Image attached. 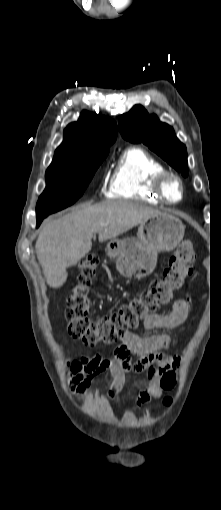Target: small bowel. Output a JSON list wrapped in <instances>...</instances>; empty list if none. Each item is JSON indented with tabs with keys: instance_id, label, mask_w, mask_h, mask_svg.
Listing matches in <instances>:
<instances>
[{
	"instance_id": "1",
	"label": "small bowel",
	"mask_w": 221,
	"mask_h": 510,
	"mask_svg": "<svg viewBox=\"0 0 221 510\" xmlns=\"http://www.w3.org/2000/svg\"><path fill=\"white\" fill-rule=\"evenodd\" d=\"M192 311L191 298H178L173 302L168 314H151L143 320V327L148 330H165L181 325ZM174 338L166 334L140 336L126 332L120 343L113 347L110 356L96 353L67 359L66 368L70 374V389L82 398L91 387L95 378L109 371L112 380L107 391L108 400H114L131 373L146 372L149 385L142 389L137 398V406L150 402L170 390L176 381V369L179 357L165 354L163 351L174 343Z\"/></svg>"
}]
</instances>
